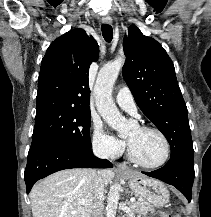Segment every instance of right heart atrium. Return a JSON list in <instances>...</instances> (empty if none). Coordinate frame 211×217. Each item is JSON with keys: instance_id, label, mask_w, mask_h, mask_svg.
<instances>
[{"instance_id": "obj_1", "label": "right heart atrium", "mask_w": 211, "mask_h": 217, "mask_svg": "<svg viewBox=\"0 0 211 217\" xmlns=\"http://www.w3.org/2000/svg\"><path fill=\"white\" fill-rule=\"evenodd\" d=\"M92 146L98 154L109 158L120 156L125 148L122 141L106 134L99 124L93 127Z\"/></svg>"}]
</instances>
